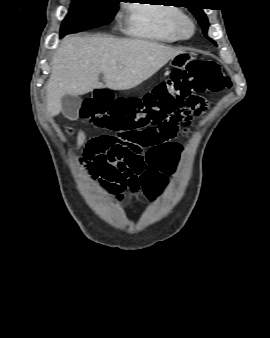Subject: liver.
I'll use <instances>...</instances> for the list:
<instances>
[{
	"label": "liver",
	"instance_id": "6515ba94",
	"mask_svg": "<svg viewBox=\"0 0 270 338\" xmlns=\"http://www.w3.org/2000/svg\"><path fill=\"white\" fill-rule=\"evenodd\" d=\"M182 52L142 39L67 36L53 56L46 90L47 113L58 115L66 94L79 96L103 87L131 89ZM100 73L104 84L99 82Z\"/></svg>",
	"mask_w": 270,
	"mask_h": 338
}]
</instances>
